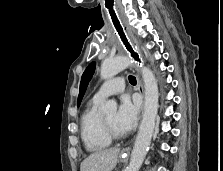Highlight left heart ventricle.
Returning a JSON list of instances; mask_svg holds the SVG:
<instances>
[{
  "label": "left heart ventricle",
  "mask_w": 223,
  "mask_h": 171,
  "mask_svg": "<svg viewBox=\"0 0 223 171\" xmlns=\"http://www.w3.org/2000/svg\"><path fill=\"white\" fill-rule=\"evenodd\" d=\"M104 118L115 133L122 134V132L116 126V112L108 113L104 116Z\"/></svg>",
  "instance_id": "obj_1"
}]
</instances>
